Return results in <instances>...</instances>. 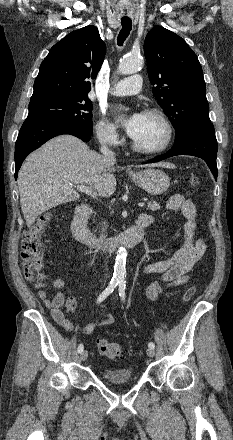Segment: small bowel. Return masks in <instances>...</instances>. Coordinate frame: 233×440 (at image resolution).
Masks as SVG:
<instances>
[{"instance_id":"obj_1","label":"small bowel","mask_w":233,"mask_h":440,"mask_svg":"<svg viewBox=\"0 0 233 440\" xmlns=\"http://www.w3.org/2000/svg\"><path fill=\"white\" fill-rule=\"evenodd\" d=\"M169 211H180L186 219L184 226V243L169 258L152 262L144 267L145 273L156 274L161 277V282L150 284L146 289V296L149 300H154L162 291V283L166 286H177L186 282L192 272L194 265L202 258L206 250V242L203 238L196 236V207L194 203L182 194H174L167 201ZM140 216H147L141 214ZM53 286L62 289L65 286L63 279H56ZM46 282H35V288L38 290V297L44 302L45 306L55 322L65 331L73 332L76 330L74 324L63 312L64 307L68 315L74 314L76 310V300L73 297H66L63 292H58L53 298H49L45 290ZM101 303V302H100ZM102 307L105 305L102 303ZM114 322L111 314L105 315L101 320L89 323L83 328V333L90 334L97 328L110 325Z\"/></svg>"}]
</instances>
